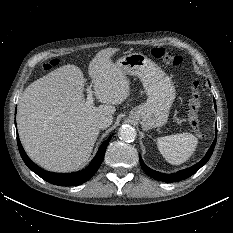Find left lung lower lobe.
Wrapping results in <instances>:
<instances>
[{"mask_svg": "<svg viewBox=\"0 0 233 233\" xmlns=\"http://www.w3.org/2000/svg\"><path fill=\"white\" fill-rule=\"evenodd\" d=\"M215 109H216V104H215ZM216 136H217V128H216ZM216 138L217 137H215V140H214L213 144L211 145V147L209 148L208 152L206 153L205 157L200 162H198L197 164L193 165L190 168L181 170V171L174 173V174L165 175L163 173L154 171V170L150 169L148 166H146L145 163L143 162L141 156L139 155V161H140L141 167L149 176H151L152 178L159 180V181L176 182V181L184 180V179L190 177L191 175H193L203 165H205L207 163V161L209 160V158L211 157V155L213 153V150H214V147L216 144Z\"/></svg>", "mask_w": 233, "mask_h": 233, "instance_id": "obj_1", "label": "left lung lower lobe"}]
</instances>
